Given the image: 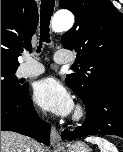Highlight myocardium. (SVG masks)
<instances>
[{
	"label": "myocardium",
	"instance_id": "myocardium-1",
	"mask_svg": "<svg viewBox=\"0 0 123 152\" xmlns=\"http://www.w3.org/2000/svg\"><path fill=\"white\" fill-rule=\"evenodd\" d=\"M86 116H87L86 108L83 105L79 104L76 106L74 110L72 120L74 122H81L86 118Z\"/></svg>",
	"mask_w": 123,
	"mask_h": 152
}]
</instances>
